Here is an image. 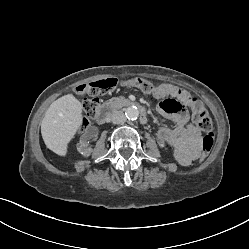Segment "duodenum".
Listing matches in <instances>:
<instances>
[{
    "instance_id": "duodenum-1",
    "label": "duodenum",
    "mask_w": 249,
    "mask_h": 249,
    "mask_svg": "<svg viewBox=\"0 0 249 249\" xmlns=\"http://www.w3.org/2000/svg\"><path fill=\"white\" fill-rule=\"evenodd\" d=\"M121 105L136 106V108L140 112L141 123L145 124L147 122V116H146V111H145L144 107L135 101L124 100V99L114 100V101L110 102L108 105L101 107L97 113V120L99 122L106 121L110 116L112 108H114L116 106H121Z\"/></svg>"
}]
</instances>
